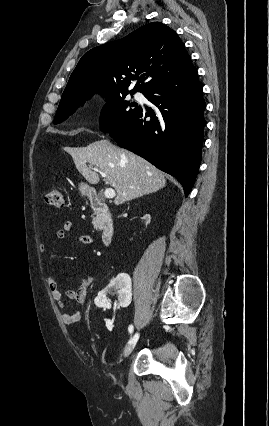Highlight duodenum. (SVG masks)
Segmentation results:
<instances>
[{
  "instance_id": "410a0bca",
  "label": "duodenum",
  "mask_w": 269,
  "mask_h": 426,
  "mask_svg": "<svg viewBox=\"0 0 269 426\" xmlns=\"http://www.w3.org/2000/svg\"><path fill=\"white\" fill-rule=\"evenodd\" d=\"M87 198L95 212L96 226L101 231L103 243H111L114 236V224L103 195L96 191H89Z\"/></svg>"
}]
</instances>
